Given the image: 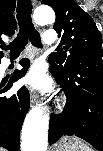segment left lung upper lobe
<instances>
[{
	"instance_id": "1",
	"label": "left lung upper lobe",
	"mask_w": 103,
	"mask_h": 151,
	"mask_svg": "<svg viewBox=\"0 0 103 151\" xmlns=\"http://www.w3.org/2000/svg\"><path fill=\"white\" fill-rule=\"evenodd\" d=\"M42 3L56 13L54 29L63 46L49 56L52 69L68 72L86 56L103 55L102 37L94 20L73 0H43Z\"/></svg>"
}]
</instances>
